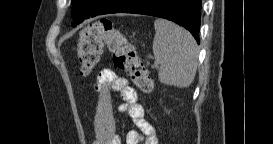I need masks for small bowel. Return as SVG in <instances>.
I'll use <instances>...</instances> for the list:
<instances>
[{"label": "small bowel", "mask_w": 273, "mask_h": 144, "mask_svg": "<svg viewBox=\"0 0 273 144\" xmlns=\"http://www.w3.org/2000/svg\"><path fill=\"white\" fill-rule=\"evenodd\" d=\"M94 90L97 107L94 119L95 144H121L113 117L111 91L119 92L122 103L120 111L125 112L136 126L126 134V144H158L154 127L147 121L143 106L138 102V94L127 79L110 68L100 71Z\"/></svg>", "instance_id": "obj_1"}]
</instances>
